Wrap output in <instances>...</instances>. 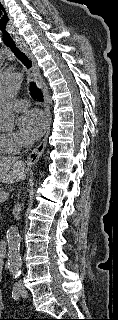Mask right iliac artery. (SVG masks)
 Masks as SVG:
<instances>
[{"mask_svg":"<svg viewBox=\"0 0 118 320\" xmlns=\"http://www.w3.org/2000/svg\"><path fill=\"white\" fill-rule=\"evenodd\" d=\"M12 297L14 300H17L20 297V286L18 282H16L13 286Z\"/></svg>","mask_w":118,"mask_h":320,"instance_id":"obj_1","label":"right iliac artery"}]
</instances>
